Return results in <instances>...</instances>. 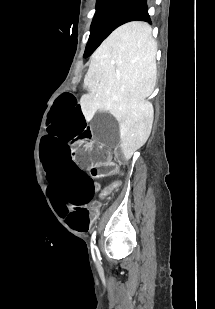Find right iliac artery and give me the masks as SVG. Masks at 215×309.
Masks as SVG:
<instances>
[{"mask_svg": "<svg viewBox=\"0 0 215 309\" xmlns=\"http://www.w3.org/2000/svg\"><path fill=\"white\" fill-rule=\"evenodd\" d=\"M95 239H96V231L93 232L92 236H91V250L93 251L94 248L96 249L95 244Z\"/></svg>", "mask_w": 215, "mask_h": 309, "instance_id": "obj_1", "label": "right iliac artery"}]
</instances>
